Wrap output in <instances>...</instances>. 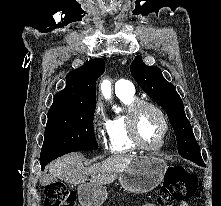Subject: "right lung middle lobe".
I'll return each instance as SVG.
<instances>
[{"label": "right lung middle lobe", "mask_w": 221, "mask_h": 206, "mask_svg": "<svg viewBox=\"0 0 221 206\" xmlns=\"http://www.w3.org/2000/svg\"><path fill=\"white\" fill-rule=\"evenodd\" d=\"M94 112L95 107L49 111L40 163L50 162L70 152L97 149Z\"/></svg>", "instance_id": "1"}]
</instances>
